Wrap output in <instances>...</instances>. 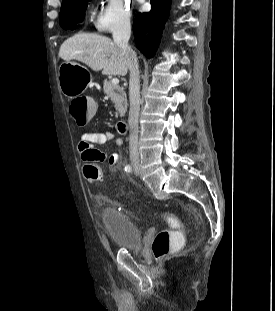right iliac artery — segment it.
I'll list each match as a JSON object with an SVG mask.
<instances>
[{"instance_id": "obj_1", "label": "right iliac artery", "mask_w": 275, "mask_h": 311, "mask_svg": "<svg viewBox=\"0 0 275 311\" xmlns=\"http://www.w3.org/2000/svg\"><path fill=\"white\" fill-rule=\"evenodd\" d=\"M131 170H132V167L130 165H126L125 166V171L126 172H131Z\"/></svg>"}]
</instances>
